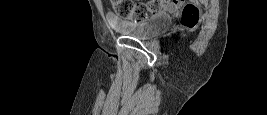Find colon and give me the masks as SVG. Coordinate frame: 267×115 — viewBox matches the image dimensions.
I'll return each mask as SVG.
<instances>
[{
    "label": "colon",
    "instance_id": "colon-1",
    "mask_svg": "<svg viewBox=\"0 0 267 115\" xmlns=\"http://www.w3.org/2000/svg\"><path fill=\"white\" fill-rule=\"evenodd\" d=\"M115 10L123 18L142 21L151 15L162 12L161 5L157 3H134L131 0H116ZM199 20V9L193 4H187L181 12V22L184 26L192 27Z\"/></svg>",
    "mask_w": 267,
    "mask_h": 115
}]
</instances>
